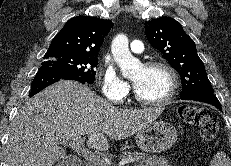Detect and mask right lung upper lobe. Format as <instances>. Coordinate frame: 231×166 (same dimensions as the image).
<instances>
[{
  "instance_id": "right-lung-upper-lobe-1",
  "label": "right lung upper lobe",
  "mask_w": 231,
  "mask_h": 166,
  "mask_svg": "<svg viewBox=\"0 0 231 166\" xmlns=\"http://www.w3.org/2000/svg\"><path fill=\"white\" fill-rule=\"evenodd\" d=\"M113 25L111 20L74 17L53 38L47 53L98 56L104 37Z\"/></svg>"
}]
</instances>
